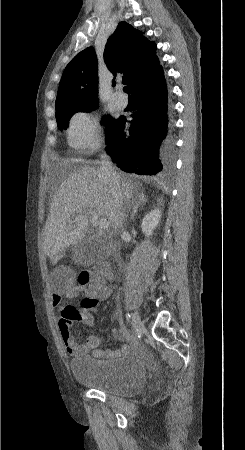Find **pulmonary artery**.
Masks as SVG:
<instances>
[{
    "label": "pulmonary artery",
    "mask_w": 245,
    "mask_h": 450,
    "mask_svg": "<svg viewBox=\"0 0 245 450\" xmlns=\"http://www.w3.org/2000/svg\"><path fill=\"white\" fill-rule=\"evenodd\" d=\"M113 102L116 104L117 107H119L121 109L125 108L128 103L126 96L123 94V92L121 90L114 93Z\"/></svg>",
    "instance_id": "e3ab8cb5"
}]
</instances>
